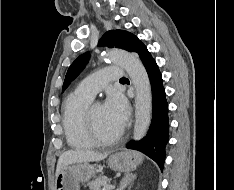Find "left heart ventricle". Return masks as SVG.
<instances>
[{
    "label": "left heart ventricle",
    "instance_id": "b2bd125f",
    "mask_svg": "<svg viewBox=\"0 0 234 190\" xmlns=\"http://www.w3.org/2000/svg\"><path fill=\"white\" fill-rule=\"evenodd\" d=\"M93 118L99 133L103 136L114 135L121 129V127L109 117L102 104L95 105L93 108Z\"/></svg>",
    "mask_w": 234,
    "mask_h": 190
}]
</instances>
